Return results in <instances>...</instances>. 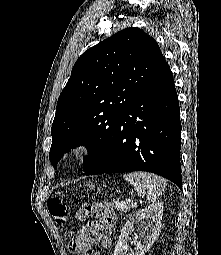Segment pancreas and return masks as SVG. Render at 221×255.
<instances>
[{
	"instance_id": "pancreas-1",
	"label": "pancreas",
	"mask_w": 221,
	"mask_h": 255,
	"mask_svg": "<svg viewBox=\"0 0 221 255\" xmlns=\"http://www.w3.org/2000/svg\"><path fill=\"white\" fill-rule=\"evenodd\" d=\"M110 206L115 208L116 210L120 212H127L135 207V204H132L128 201H118V200H111Z\"/></svg>"
}]
</instances>
